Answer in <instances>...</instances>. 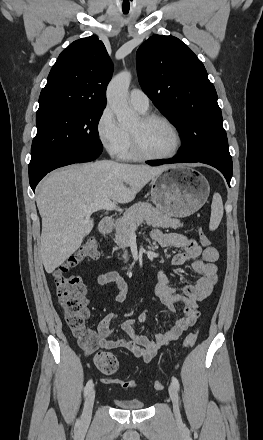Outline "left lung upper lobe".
<instances>
[{
  "label": "left lung upper lobe",
  "instance_id": "left-lung-upper-lobe-1",
  "mask_svg": "<svg viewBox=\"0 0 263 440\" xmlns=\"http://www.w3.org/2000/svg\"><path fill=\"white\" fill-rule=\"evenodd\" d=\"M142 90L180 132L189 161L231 157L217 93L197 56L174 36L153 35L136 54Z\"/></svg>",
  "mask_w": 263,
  "mask_h": 440
}]
</instances>
